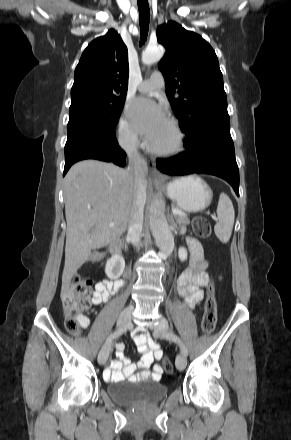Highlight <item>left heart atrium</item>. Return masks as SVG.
Masks as SVG:
<instances>
[{
    "mask_svg": "<svg viewBox=\"0 0 291 440\" xmlns=\"http://www.w3.org/2000/svg\"><path fill=\"white\" fill-rule=\"evenodd\" d=\"M129 114L137 132L149 142L169 123L164 108L147 97L135 99Z\"/></svg>",
    "mask_w": 291,
    "mask_h": 440,
    "instance_id": "obj_1",
    "label": "left heart atrium"
}]
</instances>
